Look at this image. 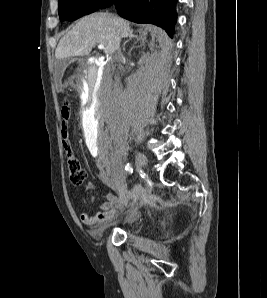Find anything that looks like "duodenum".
I'll return each instance as SVG.
<instances>
[{
	"mask_svg": "<svg viewBox=\"0 0 267 298\" xmlns=\"http://www.w3.org/2000/svg\"><path fill=\"white\" fill-rule=\"evenodd\" d=\"M88 75H84L83 79L84 84H83V89H85L86 92H91L94 87H101V82H98L95 76V68L94 67H89L88 68ZM85 106L86 109H91V104L90 101H85Z\"/></svg>",
	"mask_w": 267,
	"mask_h": 298,
	"instance_id": "duodenum-1",
	"label": "duodenum"
}]
</instances>
